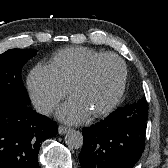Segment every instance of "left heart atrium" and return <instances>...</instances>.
Masks as SVG:
<instances>
[{"mask_svg":"<svg viewBox=\"0 0 168 168\" xmlns=\"http://www.w3.org/2000/svg\"><path fill=\"white\" fill-rule=\"evenodd\" d=\"M90 114L87 106L77 96H72L58 110V117L67 123H80Z\"/></svg>","mask_w":168,"mask_h":168,"instance_id":"left-heart-atrium-1","label":"left heart atrium"}]
</instances>
